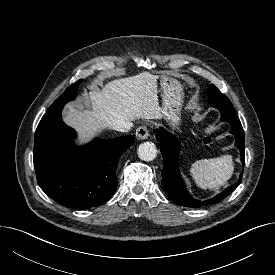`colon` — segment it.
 Returning a JSON list of instances; mask_svg holds the SVG:
<instances>
[{
	"instance_id": "obj_1",
	"label": "colon",
	"mask_w": 275,
	"mask_h": 275,
	"mask_svg": "<svg viewBox=\"0 0 275 275\" xmlns=\"http://www.w3.org/2000/svg\"><path fill=\"white\" fill-rule=\"evenodd\" d=\"M203 142H204V145L209 148H213L216 145V142L211 137H205Z\"/></svg>"
}]
</instances>
